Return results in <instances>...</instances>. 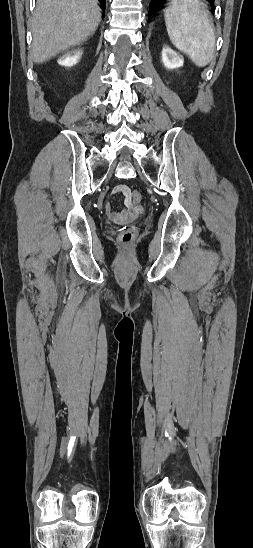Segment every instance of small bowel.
Here are the masks:
<instances>
[{
  "mask_svg": "<svg viewBox=\"0 0 253 548\" xmlns=\"http://www.w3.org/2000/svg\"><path fill=\"white\" fill-rule=\"evenodd\" d=\"M112 194H121L124 197V207L114 212L107 204L105 210L109 220L116 224H125L132 221L140 212V208L132 204L129 188L126 185H117L113 188Z\"/></svg>",
  "mask_w": 253,
  "mask_h": 548,
  "instance_id": "c3829d8e",
  "label": "small bowel"
}]
</instances>
